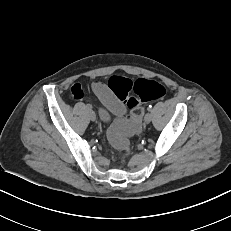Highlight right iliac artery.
Returning a JSON list of instances; mask_svg holds the SVG:
<instances>
[{"label":"right iliac artery","mask_w":231,"mask_h":231,"mask_svg":"<svg viewBox=\"0 0 231 231\" xmlns=\"http://www.w3.org/2000/svg\"><path fill=\"white\" fill-rule=\"evenodd\" d=\"M86 107H87L88 110L92 109V106L90 104H87Z\"/></svg>","instance_id":"obj_1"}]
</instances>
